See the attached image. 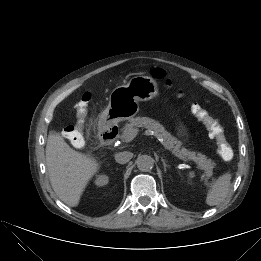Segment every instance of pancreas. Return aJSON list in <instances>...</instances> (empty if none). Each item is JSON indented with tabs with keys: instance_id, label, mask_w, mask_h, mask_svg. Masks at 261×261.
Returning <instances> with one entry per match:
<instances>
[{
	"instance_id": "obj_1",
	"label": "pancreas",
	"mask_w": 261,
	"mask_h": 261,
	"mask_svg": "<svg viewBox=\"0 0 261 261\" xmlns=\"http://www.w3.org/2000/svg\"><path fill=\"white\" fill-rule=\"evenodd\" d=\"M130 123L126 124L123 128L122 137L126 138L127 132L138 127H145L146 129L153 131L154 135L162 138L163 144L166 149L172 150L178 154L183 155L189 160L195 161L201 169L204 170V180L208 181L213 175V168L215 163L211 159L201 153H195L188 151L185 148H181V142L174 136H172L165 128L157 121L148 117H135L129 120Z\"/></svg>"
}]
</instances>
